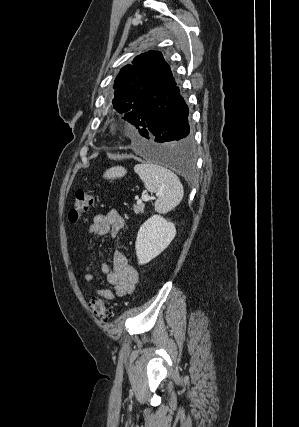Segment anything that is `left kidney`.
I'll return each instance as SVG.
<instances>
[{
  "label": "left kidney",
  "mask_w": 299,
  "mask_h": 427,
  "mask_svg": "<svg viewBox=\"0 0 299 427\" xmlns=\"http://www.w3.org/2000/svg\"><path fill=\"white\" fill-rule=\"evenodd\" d=\"M176 228L172 222L155 214L140 227L135 243L138 263L144 265L156 258L172 242Z\"/></svg>",
  "instance_id": "1"
}]
</instances>
